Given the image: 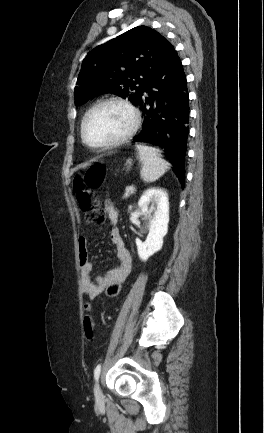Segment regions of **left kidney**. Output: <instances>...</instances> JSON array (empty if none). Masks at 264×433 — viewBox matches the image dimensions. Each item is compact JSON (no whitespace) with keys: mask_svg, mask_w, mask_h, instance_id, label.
Listing matches in <instances>:
<instances>
[{"mask_svg":"<svg viewBox=\"0 0 264 433\" xmlns=\"http://www.w3.org/2000/svg\"><path fill=\"white\" fill-rule=\"evenodd\" d=\"M138 206L142 214L148 216L150 222L146 240L144 242L139 238L135 240L140 259L147 261L150 256L161 250L163 238L168 232L169 202L167 192L155 187L147 189L141 196Z\"/></svg>","mask_w":264,"mask_h":433,"instance_id":"1","label":"left kidney"}]
</instances>
